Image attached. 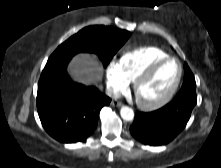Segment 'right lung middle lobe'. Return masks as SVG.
<instances>
[{"label":"right lung middle lobe","instance_id":"right-lung-middle-lobe-1","mask_svg":"<svg viewBox=\"0 0 221 168\" xmlns=\"http://www.w3.org/2000/svg\"><path fill=\"white\" fill-rule=\"evenodd\" d=\"M129 37L130 32L125 30L98 25L89 26L62 43L49 60L72 58L79 52H90L96 53L106 66Z\"/></svg>","mask_w":221,"mask_h":168}]
</instances>
